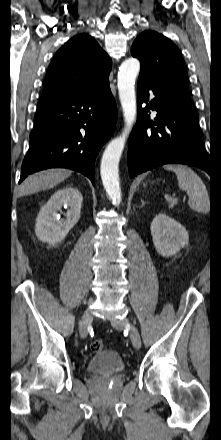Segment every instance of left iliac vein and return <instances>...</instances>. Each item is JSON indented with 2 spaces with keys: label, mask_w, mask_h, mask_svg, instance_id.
<instances>
[{
  "label": "left iliac vein",
  "mask_w": 221,
  "mask_h": 440,
  "mask_svg": "<svg viewBox=\"0 0 221 440\" xmlns=\"http://www.w3.org/2000/svg\"><path fill=\"white\" fill-rule=\"evenodd\" d=\"M112 325L116 329H119V328H122L125 325H128L129 326L130 339H131L134 347L137 348V349L140 348V346H141L140 334H139L137 328L127 318L113 319L112 320Z\"/></svg>",
  "instance_id": "1"
}]
</instances>
